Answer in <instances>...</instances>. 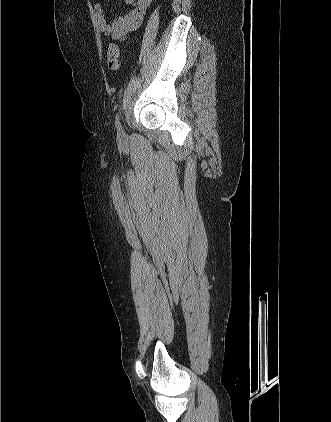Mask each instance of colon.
Instances as JSON below:
<instances>
[{"mask_svg":"<svg viewBox=\"0 0 331 422\" xmlns=\"http://www.w3.org/2000/svg\"><path fill=\"white\" fill-rule=\"evenodd\" d=\"M121 53L118 45L110 43L106 47V61L111 69H117L120 64Z\"/></svg>","mask_w":331,"mask_h":422,"instance_id":"5ec220e1","label":"colon"}]
</instances>
